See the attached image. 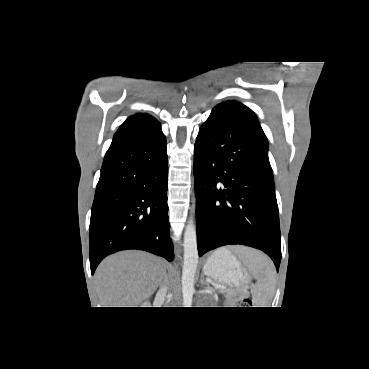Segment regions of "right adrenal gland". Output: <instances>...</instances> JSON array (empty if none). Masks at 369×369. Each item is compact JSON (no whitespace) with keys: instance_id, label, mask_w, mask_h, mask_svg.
Segmentation results:
<instances>
[{"instance_id":"obj_1","label":"right adrenal gland","mask_w":369,"mask_h":369,"mask_svg":"<svg viewBox=\"0 0 369 369\" xmlns=\"http://www.w3.org/2000/svg\"><path fill=\"white\" fill-rule=\"evenodd\" d=\"M163 283L168 284V277H167V275H166V274H165V276H164V281H163Z\"/></svg>"}]
</instances>
